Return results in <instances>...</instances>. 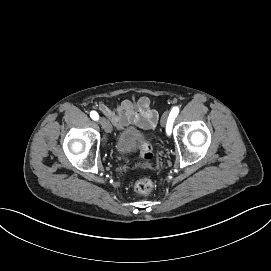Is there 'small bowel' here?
I'll use <instances>...</instances> for the list:
<instances>
[{"instance_id":"c3829d8e","label":"small bowel","mask_w":271,"mask_h":271,"mask_svg":"<svg viewBox=\"0 0 271 271\" xmlns=\"http://www.w3.org/2000/svg\"><path fill=\"white\" fill-rule=\"evenodd\" d=\"M98 108L118 129L134 124L141 129L149 130L153 129L158 121V113L152 109L151 101L147 97H141L137 101L123 100L115 108L101 102Z\"/></svg>"}]
</instances>
